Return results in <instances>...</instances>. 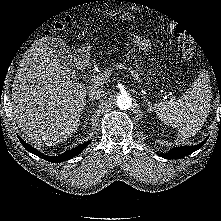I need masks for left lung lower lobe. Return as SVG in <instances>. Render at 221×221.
Wrapping results in <instances>:
<instances>
[{"instance_id":"1","label":"left lung lower lobe","mask_w":221,"mask_h":221,"mask_svg":"<svg viewBox=\"0 0 221 221\" xmlns=\"http://www.w3.org/2000/svg\"><path fill=\"white\" fill-rule=\"evenodd\" d=\"M207 139L208 137L198 145L176 147V148L171 149L167 153H161L158 155L165 159H180L200 149L203 146V144L207 141Z\"/></svg>"}]
</instances>
